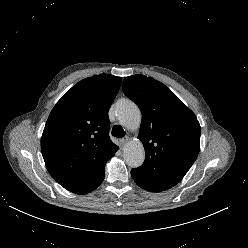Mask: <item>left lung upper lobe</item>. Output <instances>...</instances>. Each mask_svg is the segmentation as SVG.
<instances>
[{
    "instance_id": "5c2ea615",
    "label": "left lung upper lobe",
    "mask_w": 248,
    "mask_h": 248,
    "mask_svg": "<svg viewBox=\"0 0 248 248\" xmlns=\"http://www.w3.org/2000/svg\"><path fill=\"white\" fill-rule=\"evenodd\" d=\"M124 94L134 101L142 122V166L132 169L138 186L165 191L182 180L196 160L201 127L195 114L164 84L144 75L125 77Z\"/></svg>"
}]
</instances>
